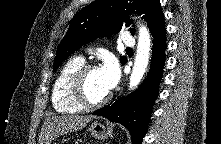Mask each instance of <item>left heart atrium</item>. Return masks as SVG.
I'll return each instance as SVG.
<instances>
[{
	"label": "left heart atrium",
	"mask_w": 221,
	"mask_h": 144,
	"mask_svg": "<svg viewBox=\"0 0 221 144\" xmlns=\"http://www.w3.org/2000/svg\"><path fill=\"white\" fill-rule=\"evenodd\" d=\"M102 83L107 91L112 90L118 83L120 70L115 58L108 57L99 68Z\"/></svg>",
	"instance_id": "1"
}]
</instances>
